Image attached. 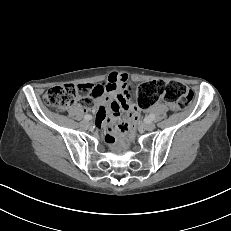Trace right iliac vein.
I'll use <instances>...</instances> for the list:
<instances>
[{"mask_svg":"<svg viewBox=\"0 0 231 231\" xmlns=\"http://www.w3.org/2000/svg\"><path fill=\"white\" fill-rule=\"evenodd\" d=\"M80 126H81V128H83V129H88L89 127H90V123L88 122V121H82L81 123H80Z\"/></svg>","mask_w":231,"mask_h":231,"instance_id":"1","label":"right iliac vein"}]
</instances>
